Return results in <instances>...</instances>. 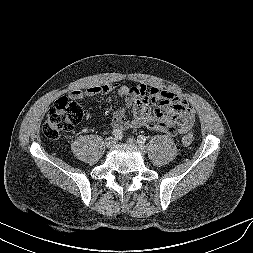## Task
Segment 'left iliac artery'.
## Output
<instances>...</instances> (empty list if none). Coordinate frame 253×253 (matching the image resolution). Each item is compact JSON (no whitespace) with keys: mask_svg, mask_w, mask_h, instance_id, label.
Returning a JSON list of instances; mask_svg holds the SVG:
<instances>
[{"mask_svg":"<svg viewBox=\"0 0 253 253\" xmlns=\"http://www.w3.org/2000/svg\"><path fill=\"white\" fill-rule=\"evenodd\" d=\"M137 141L140 144H145L146 143V137L144 135H139L138 138H137Z\"/></svg>","mask_w":253,"mask_h":253,"instance_id":"1","label":"left iliac artery"}]
</instances>
